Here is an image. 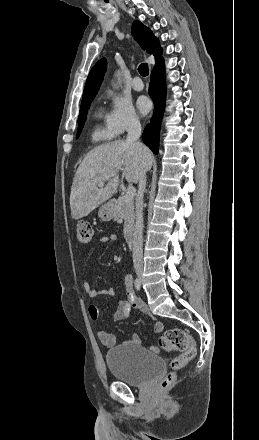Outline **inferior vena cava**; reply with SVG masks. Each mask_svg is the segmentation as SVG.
I'll return each mask as SVG.
<instances>
[{"label": "inferior vena cava", "mask_w": 259, "mask_h": 440, "mask_svg": "<svg viewBox=\"0 0 259 440\" xmlns=\"http://www.w3.org/2000/svg\"><path fill=\"white\" fill-rule=\"evenodd\" d=\"M128 143L134 144L144 159L147 153L145 147L140 141L141 124L138 119H131L127 127ZM144 163V162H143ZM146 189V171H143L138 181V193L136 197V222L133 232V264L136 271L143 269V197Z\"/></svg>", "instance_id": "obj_1"}]
</instances>
